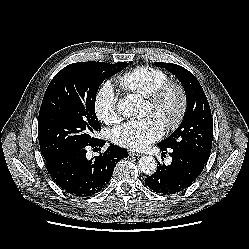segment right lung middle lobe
Instances as JSON below:
<instances>
[{
	"instance_id": "dd1d6c3e",
	"label": "right lung middle lobe",
	"mask_w": 249,
	"mask_h": 249,
	"mask_svg": "<svg viewBox=\"0 0 249 249\" xmlns=\"http://www.w3.org/2000/svg\"><path fill=\"white\" fill-rule=\"evenodd\" d=\"M127 65L78 62L56 74L45 92L38 118V138L45 160L96 140L92 134L101 129L95 114L98 88Z\"/></svg>"
}]
</instances>
